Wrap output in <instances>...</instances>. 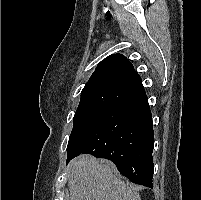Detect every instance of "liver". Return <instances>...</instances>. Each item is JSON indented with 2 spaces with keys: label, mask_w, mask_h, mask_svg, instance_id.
<instances>
[{
  "label": "liver",
  "mask_w": 201,
  "mask_h": 200,
  "mask_svg": "<svg viewBox=\"0 0 201 200\" xmlns=\"http://www.w3.org/2000/svg\"><path fill=\"white\" fill-rule=\"evenodd\" d=\"M69 200H141L107 160L82 155L69 165Z\"/></svg>",
  "instance_id": "6515ba94"
}]
</instances>
